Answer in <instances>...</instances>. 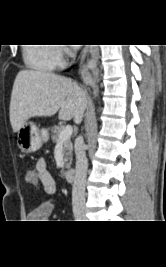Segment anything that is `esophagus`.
I'll return each mask as SVG.
<instances>
[{
    "label": "esophagus",
    "instance_id": "34e87169",
    "mask_svg": "<svg viewBox=\"0 0 166 267\" xmlns=\"http://www.w3.org/2000/svg\"><path fill=\"white\" fill-rule=\"evenodd\" d=\"M87 51H88L87 48H84V50L82 51L81 62H83ZM81 75H82V79H83L84 82L91 81V78H90L89 73L87 72V69L82 68Z\"/></svg>",
    "mask_w": 166,
    "mask_h": 267
}]
</instances>
